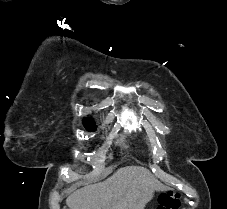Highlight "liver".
<instances>
[{
	"instance_id": "6515ba94",
	"label": "liver",
	"mask_w": 227,
	"mask_h": 209,
	"mask_svg": "<svg viewBox=\"0 0 227 209\" xmlns=\"http://www.w3.org/2000/svg\"><path fill=\"white\" fill-rule=\"evenodd\" d=\"M154 181L148 169L123 167L112 177L78 189L66 199L69 209H144L152 197L147 183Z\"/></svg>"
}]
</instances>
